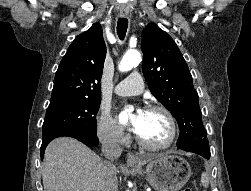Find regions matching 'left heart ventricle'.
I'll list each match as a JSON object with an SVG mask.
<instances>
[{"label":"left heart ventricle","mask_w":251,"mask_h":191,"mask_svg":"<svg viewBox=\"0 0 251 191\" xmlns=\"http://www.w3.org/2000/svg\"><path fill=\"white\" fill-rule=\"evenodd\" d=\"M138 134L152 145L166 143L170 137V125L159 111H147Z\"/></svg>","instance_id":"obj_1"}]
</instances>
